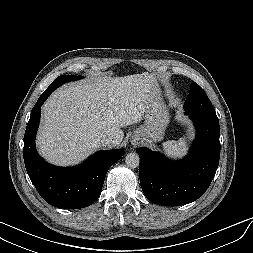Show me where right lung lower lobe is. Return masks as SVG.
Segmentation results:
<instances>
[{
    "instance_id": "right-lung-lower-lobe-1",
    "label": "right lung lower lobe",
    "mask_w": 253,
    "mask_h": 253,
    "mask_svg": "<svg viewBox=\"0 0 253 253\" xmlns=\"http://www.w3.org/2000/svg\"><path fill=\"white\" fill-rule=\"evenodd\" d=\"M50 94H42L32 109L24 135V162L27 173L40 196L50 205L62 209H78L98 199L108 169L124 151L107 150L95 153L82 165L63 168L46 163L35 148V135L41 106Z\"/></svg>"
}]
</instances>
